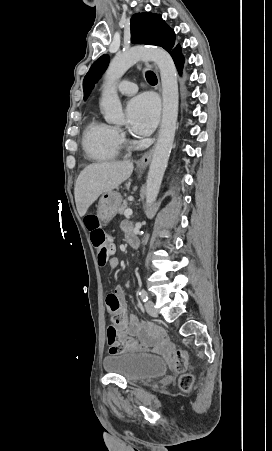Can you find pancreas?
Masks as SVG:
<instances>
[{
  "mask_svg": "<svg viewBox=\"0 0 272 451\" xmlns=\"http://www.w3.org/2000/svg\"><path fill=\"white\" fill-rule=\"evenodd\" d=\"M125 210H128L127 200H124L122 206H120V208H118V212H119V214H124Z\"/></svg>",
  "mask_w": 272,
  "mask_h": 451,
  "instance_id": "pancreas-1",
  "label": "pancreas"
}]
</instances>
